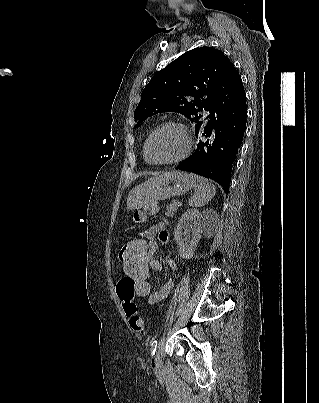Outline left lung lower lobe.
Wrapping results in <instances>:
<instances>
[{"label":"left lung lower lobe","mask_w":319,"mask_h":403,"mask_svg":"<svg viewBox=\"0 0 319 403\" xmlns=\"http://www.w3.org/2000/svg\"><path fill=\"white\" fill-rule=\"evenodd\" d=\"M210 120L196 132L195 152L177 170L213 179L228 194L231 172L246 128L247 105L242 79L234 65L209 110Z\"/></svg>","instance_id":"1"}]
</instances>
